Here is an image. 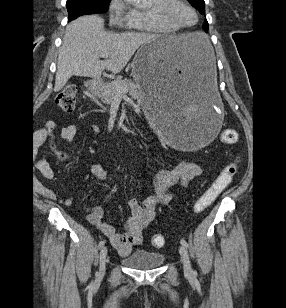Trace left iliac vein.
Instances as JSON below:
<instances>
[{"label":"left iliac vein","instance_id":"obj_1","mask_svg":"<svg viewBox=\"0 0 286 308\" xmlns=\"http://www.w3.org/2000/svg\"><path fill=\"white\" fill-rule=\"evenodd\" d=\"M179 253L182 257L183 260V267H184V272L187 276H191L193 273L192 267H191V262L189 258L188 251L185 246L181 245L179 247Z\"/></svg>","mask_w":286,"mask_h":308}]
</instances>
